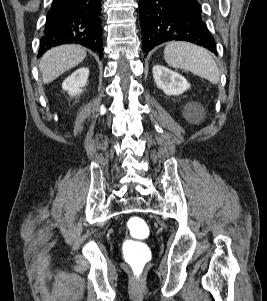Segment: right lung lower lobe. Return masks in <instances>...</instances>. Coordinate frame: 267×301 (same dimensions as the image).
<instances>
[{
	"instance_id": "1",
	"label": "right lung lower lobe",
	"mask_w": 267,
	"mask_h": 301,
	"mask_svg": "<svg viewBox=\"0 0 267 301\" xmlns=\"http://www.w3.org/2000/svg\"><path fill=\"white\" fill-rule=\"evenodd\" d=\"M101 0H53L38 57L51 47L81 44L102 57Z\"/></svg>"
}]
</instances>
